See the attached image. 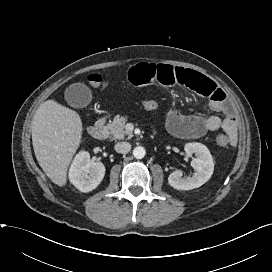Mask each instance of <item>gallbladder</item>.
I'll return each instance as SVG.
<instances>
[{
  "mask_svg": "<svg viewBox=\"0 0 272 272\" xmlns=\"http://www.w3.org/2000/svg\"><path fill=\"white\" fill-rule=\"evenodd\" d=\"M92 99L91 90L84 84L74 83L65 90V100L74 108L87 106Z\"/></svg>",
  "mask_w": 272,
  "mask_h": 272,
  "instance_id": "bac80fb5",
  "label": "gallbladder"
}]
</instances>
